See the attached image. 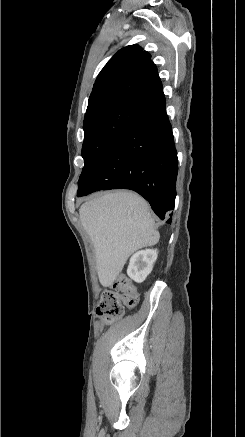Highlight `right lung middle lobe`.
<instances>
[{"instance_id": "obj_1", "label": "right lung middle lobe", "mask_w": 245, "mask_h": 437, "mask_svg": "<svg viewBox=\"0 0 245 437\" xmlns=\"http://www.w3.org/2000/svg\"><path fill=\"white\" fill-rule=\"evenodd\" d=\"M140 111V108L131 104L114 102L100 105L86 112L81 154L85 164L78 181L79 185L93 171L122 129Z\"/></svg>"}]
</instances>
